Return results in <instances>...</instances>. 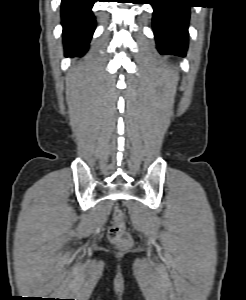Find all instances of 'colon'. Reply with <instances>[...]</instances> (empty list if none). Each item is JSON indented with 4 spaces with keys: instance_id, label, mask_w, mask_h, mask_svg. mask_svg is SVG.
<instances>
[{
    "instance_id": "obj_1",
    "label": "colon",
    "mask_w": 246,
    "mask_h": 300,
    "mask_svg": "<svg viewBox=\"0 0 246 300\" xmlns=\"http://www.w3.org/2000/svg\"><path fill=\"white\" fill-rule=\"evenodd\" d=\"M113 225L107 232L109 241L120 247H127L131 244V236L125 229L124 213L121 208L113 210Z\"/></svg>"
}]
</instances>
